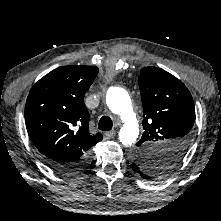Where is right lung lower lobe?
<instances>
[{
    "instance_id": "1",
    "label": "right lung lower lobe",
    "mask_w": 221,
    "mask_h": 221,
    "mask_svg": "<svg viewBox=\"0 0 221 221\" xmlns=\"http://www.w3.org/2000/svg\"><path fill=\"white\" fill-rule=\"evenodd\" d=\"M90 160H91L90 156H86L82 158L80 161H76V162H55V161L44 159L45 163L49 167H51L52 169H54L55 171L61 174H71V173L80 171L89 165Z\"/></svg>"
}]
</instances>
